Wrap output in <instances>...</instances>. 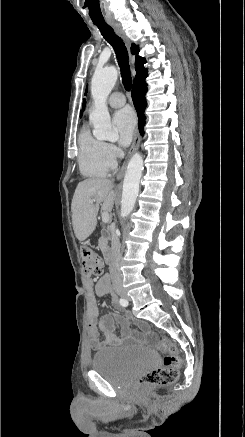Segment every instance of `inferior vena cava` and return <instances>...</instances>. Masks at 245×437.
Instances as JSON below:
<instances>
[{"label":"inferior vena cava","mask_w":245,"mask_h":437,"mask_svg":"<svg viewBox=\"0 0 245 437\" xmlns=\"http://www.w3.org/2000/svg\"><path fill=\"white\" fill-rule=\"evenodd\" d=\"M121 244L116 233L111 238V253L109 259V272L113 286L122 284V274L120 271Z\"/></svg>","instance_id":"inferior-vena-cava-1"}]
</instances>
